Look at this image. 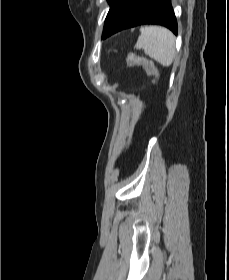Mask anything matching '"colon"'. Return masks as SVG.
I'll use <instances>...</instances> for the list:
<instances>
[{"mask_svg":"<svg viewBox=\"0 0 229 280\" xmlns=\"http://www.w3.org/2000/svg\"><path fill=\"white\" fill-rule=\"evenodd\" d=\"M127 62L130 66H143L149 64V61L146 57L140 56L135 53L128 54ZM148 71L156 80L158 79V73L152 66L148 67Z\"/></svg>","mask_w":229,"mask_h":280,"instance_id":"colon-1","label":"colon"}]
</instances>
